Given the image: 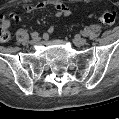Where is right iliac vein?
<instances>
[{"label": "right iliac vein", "instance_id": "63e3f726", "mask_svg": "<svg viewBox=\"0 0 119 119\" xmlns=\"http://www.w3.org/2000/svg\"><path fill=\"white\" fill-rule=\"evenodd\" d=\"M38 41H39V38H38V37L33 38V39L30 41V44H31V45H35V44L38 43Z\"/></svg>", "mask_w": 119, "mask_h": 119}]
</instances>
